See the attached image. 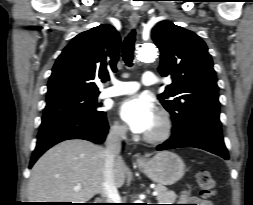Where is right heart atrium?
<instances>
[{"label":"right heart atrium","instance_id":"obj_1","mask_svg":"<svg viewBox=\"0 0 253 205\" xmlns=\"http://www.w3.org/2000/svg\"><path fill=\"white\" fill-rule=\"evenodd\" d=\"M111 133L116 137H123L126 133V128L121 123L115 121L111 126Z\"/></svg>","mask_w":253,"mask_h":205}]
</instances>
